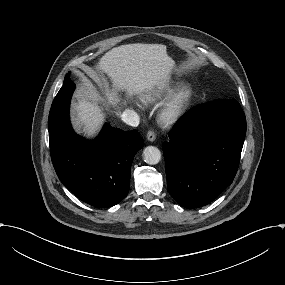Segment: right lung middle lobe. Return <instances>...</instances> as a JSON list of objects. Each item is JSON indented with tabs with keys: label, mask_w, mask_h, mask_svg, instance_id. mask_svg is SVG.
Segmentation results:
<instances>
[{
	"label": "right lung middle lobe",
	"mask_w": 285,
	"mask_h": 285,
	"mask_svg": "<svg viewBox=\"0 0 285 285\" xmlns=\"http://www.w3.org/2000/svg\"><path fill=\"white\" fill-rule=\"evenodd\" d=\"M67 79H69V74H67V75L65 76V81H66Z\"/></svg>",
	"instance_id": "obj_1"
}]
</instances>
